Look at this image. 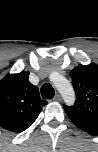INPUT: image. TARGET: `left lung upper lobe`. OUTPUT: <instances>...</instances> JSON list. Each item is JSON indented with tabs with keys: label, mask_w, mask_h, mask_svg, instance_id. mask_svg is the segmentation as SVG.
<instances>
[{
	"label": "left lung upper lobe",
	"mask_w": 98,
	"mask_h": 152,
	"mask_svg": "<svg viewBox=\"0 0 98 152\" xmlns=\"http://www.w3.org/2000/svg\"><path fill=\"white\" fill-rule=\"evenodd\" d=\"M70 76L76 102L73 106L64 105L65 112L78 128L98 130V65H79Z\"/></svg>",
	"instance_id": "left-lung-upper-lobe-1"
}]
</instances>
